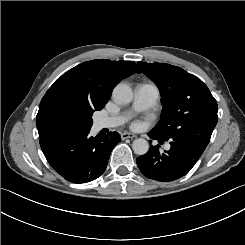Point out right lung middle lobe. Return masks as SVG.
Segmentation results:
<instances>
[{"label": "right lung middle lobe", "instance_id": "obj_1", "mask_svg": "<svg viewBox=\"0 0 245 245\" xmlns=\"http://www.w3.org/2000/svg\"><path fill=\"white\" fill-rule=\"evenodd\" d=\"M99 108H93L86 103H63L55 111L58 130H84L90 129L93 120L92 114Z\"/></svg>", "mask_w": 245, "mask_h": 245}]
</instances>
